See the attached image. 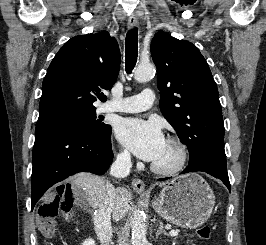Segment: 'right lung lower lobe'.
<instances>
[{"instance_id":"right-lung-lower-lobe-1","label":"right lung lower lobe","mask_w":266,"mask_h":245,"mask_svg":"<svg viewBox=\"0 0 266 245\" xmlns=\"http://www.w3.org/2000/svg\"><path fill=\"white\" fill-rule=\"evenodd\" d=\"M112 159L111 129L102 138L63 125L35 135L31 176L32 210L55 183L81 171L102 175Z\"/></svg>"}]
</instances>
